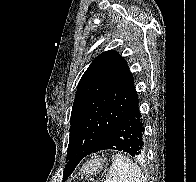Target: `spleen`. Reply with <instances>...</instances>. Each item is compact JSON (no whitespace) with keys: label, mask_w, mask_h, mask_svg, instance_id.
Wrapping results in <instances>:
<instances>
[{"label":"spleen","mask_w":196,"mask_h":182,"mask_svg":"<svg viewBox=\"0 0 196 182\" xmlns=\"http://www.w3.org/2000/svg\"><path fill=\"white\" fill-rule=\"evenodd\" d=\"M105 182H144V177L141 169L128 157L117 154L113 156Z\"/></svg>","instance_id":"1"}]
</instances>
